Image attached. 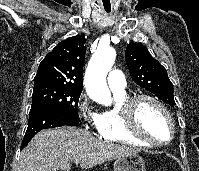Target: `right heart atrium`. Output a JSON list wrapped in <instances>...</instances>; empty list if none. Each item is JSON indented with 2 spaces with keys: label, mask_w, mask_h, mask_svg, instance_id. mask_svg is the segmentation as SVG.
Instances as JSON below:
<instances>
[{
  "label": "right heart atrium",
  "mask_w": 199,
  "mask_h": 171,
  "mask_svg": "<svg viewBox=\"0 0 199 171\" xmlns=\"http://www.w3.org/2000/svg\"><path fill=\"white\" fill-rule=\"evenodd\" d=\"M77 111L87 128L98 130L100 114L94 109L86 93H82L79 96L77 100Z\"/></svg>",
  "instance_id": "obj_1"
}]
</instances>
